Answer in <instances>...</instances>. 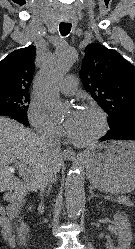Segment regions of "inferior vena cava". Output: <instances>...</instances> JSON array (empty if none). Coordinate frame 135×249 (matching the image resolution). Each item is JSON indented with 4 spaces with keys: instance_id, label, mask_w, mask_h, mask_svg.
<instances>
[{
    "instance_id": "1",
    "label": "inferior vena cava",
    "mask_w": 135,
    "mask_h": 249,
    "mask_svg": "<svg viewBox=\"0 0 135 249\" xmlns=\"http://www.w3.org/2000/svg\"><path fill=\"white\" fill-rule=\"evenodd\" d=\"M42 141L49 147L53 155L60 153V139L56 137L52 130H48L41 136ZM56 181V171L54 167L48 168L39 180V189L43 192L47 187L49 190L51 185Z\"/></svg>"
}]
</instances>
